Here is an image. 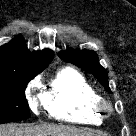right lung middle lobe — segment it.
Here are the masks:
<instances>
[{
    "instance_id": "obj_1",
    "label": "right lung middle lobe",
    "mask_w": 136,
    "mask_h": 136,
    "mask_svg": "<svg viewBox=\"0 0 136 136\" xmlns=\"http://www.w3.org/2000/svg\"><path fill=\"white\" fill-rule=\"evenodd\" d=\"M34 77L25 74L0 77V124L30 117L25 88Z\"/></svg>"
}]
</instances>
